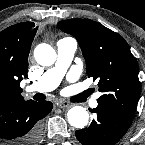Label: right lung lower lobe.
I'll return each mask as SVG.
<instances>
[{"instance_id":"obj_1","label":"right lung lower lobe","mask_w":145,"mask_h":145,"mask_svg":"<svg viewBox=\"0 0 145 145\" xmlns=\"http://www.w3.org/2000/svg\"><path fill=\"white\" fill-rule=\"evenodd\" d=\"M52 107L49 101L17 99L0 102V142L36 145L41 137V119Z\"/></svg>"}]
</instances>
